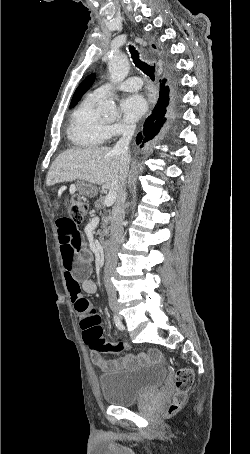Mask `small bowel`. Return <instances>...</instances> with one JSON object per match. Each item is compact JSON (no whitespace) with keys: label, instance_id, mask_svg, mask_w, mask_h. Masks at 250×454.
<instances>
[{"label":"small bowel","instance_id":"small-bowel-1","mask_svg":"<svg viewBox=\"0 0 250 454\" xmlns=\"http://www.w3.org/2000/svg\"><path fill=\"white\" fill-rule=\"evenodd\" d=\"M61 255L64 267V276L68 292L74 308L81 318L87 312H95L94 306L84 294H93L97 290L96 283L91 277L92 254L83 242L77 225L68 217H61L56 221ZM152 360L159 361L161 356L153 351L149 354ZM92 361L102 371H107L117 365L116 361L104 359L100 353L92 351ZM132 356H126L123 363H134Z\"/></svg>","mask_w":250,"mask_h":454}]
</instances>
